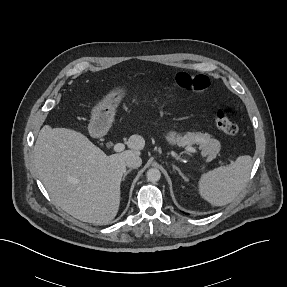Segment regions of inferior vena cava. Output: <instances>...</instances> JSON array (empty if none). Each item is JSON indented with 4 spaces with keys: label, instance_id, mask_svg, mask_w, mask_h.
<instances>
[{
    "label": "inferior vena cava",
    "instance_id": "inferior-vena-cava-1",
    "mask_svg": "<svg viewBox=\"0 0 287 287\" xmlns=\"http://www.w3.org/2000/svg\"><path fill=\"white\" fill-rule=\"evenodd\" d=\"M126 166L129 168H138L142 164V159L137 155H132L126 159Z\"/></svg>",
    "mask_w": 287,
    "mask_h": 287
}]
</instances>
